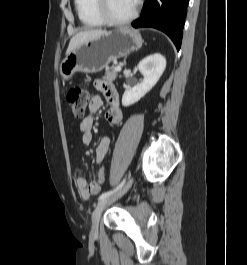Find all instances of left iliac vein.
<instances>
[{
  "mask_svg": "<svg viewBox=\"0 0 247 265\" xmlns=\"http://www.w3.org/2000/svg\"><path fill=\"white\" fill-rule=\"evenodd\" d=\"M133 182V179H130L128 183L124 186L122 190H120L117 194L108 196L104 199H102L96 206L95 210L93 211L92 214V231L91 234L93 236H96L98 233V225H99V220L101 218V215L103 211L111 204L113 203L116 199L124 195L129 188L131 187Z\"/></svg>",
  "mask_w": 247,
  "mask_h": 265,
  "instance_id": "left-iliac-vein-1",
  "label": "left iliac vein"
}]
</instances>
